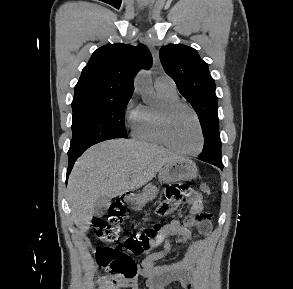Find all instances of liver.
<instances>
[{
    "mask_svg": "<svg viewBox=\"0 0 293 289\" xmlns=\"http://www.w3.org/2000/svg\"><path fill=\"white\" fill-rule=\"evenodd\" d=\"M181 157L133 139H113L89 148L76 162L68 182L75 225L87 231L99 197L114 198L152 180L167 163Z\"/></svg>",
    "mask_w": 293,
    "mask_h": 289,
    "instance_id": "obj_1",
    "label": "liver"
}]
</instances>
